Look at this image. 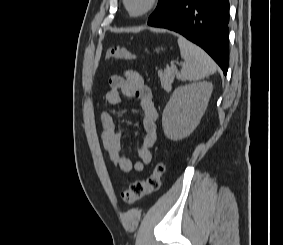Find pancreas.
Wrapping results in <instances>:
<instances>
[{"label":"pancreas","instance_id":"cf45deb5","mask_svg":"<svg viewBox=\"0 0 283 245\" xmlns=\"http://www.w3.org/2000/svg\"><path fill=\"white\" fill-rule=\"evenodd\" d=\"M161 86L165 91H170L175 77L179 76L178 71L172 69H165L158 73Z\"/></svg>","mask_w":283,"mask_h":245}]
</instances>
